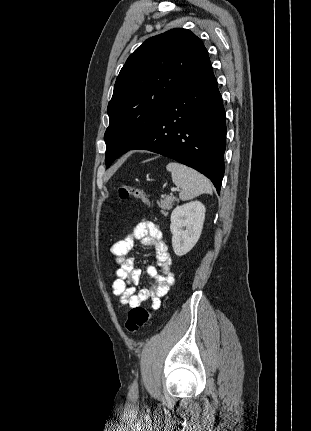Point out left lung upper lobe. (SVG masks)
Listing matches in <instances>:
<instances>
[{
    "label": "left lung upper lobe",
    "instance_id": "obj_1",
    "mask_svg": "<svg viewBox=\"0 0 311 431\" xmlns=\"http://www.w3.org/2000/svg\"><path fill=\"white\" fill-rule=\"evenodd\" d=\"M206 56L202 41L181 28L147 39L129 56L107 109V167L149 134L166 105Z\"/></svg>",
    "mask_w": 311,
    "mask_h": 431
}]
</instances>
